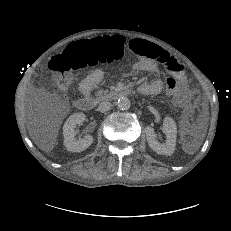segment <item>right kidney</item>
Returning <instances> with one entry per match:
<instances>
[{
  "mask_svg": "<svg viewBox=\"0 0 231 231\" xmlns=\"http://www.w3.org/2000/svg\"><path fill=\"white\" fill-rule=\"evenodd\" d=\"M86 119L83 113L72 114L63 126L64 146L70 152H81L86 150L92 143L93 137L86 135L82 139L75 138V127L77 124H82Z\"/></svg>",
  "mask_w": 231,
  "mask_h": 231,
  "instance_id": "obj_1",
  "label": "right kidney"
}]
</instances>
